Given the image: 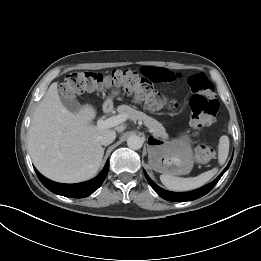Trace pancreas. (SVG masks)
<instances>
[{
    "mask_svg": "<svg viewBox=\"0 0 261 261\" xmlns=\"http://www.w3.org/2000/svg\"><path fill=\"white\" fill-rule=\"evenodd\" d=\"M119 114H127L128 118L135 120H142L144 125L147 126L155 136H165V129L157 120L147 116L141 111H137L128 105H120L117 108Z\"/></svg>",
    "mask_w": 261,
    "mask_h": 261,
    "instance_id": "1",
    "label": "pancreas"
}]
</instances>
